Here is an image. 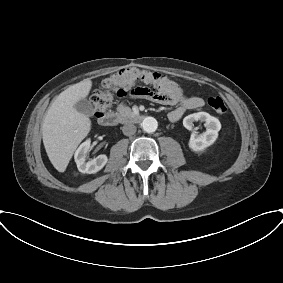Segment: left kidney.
Returning <instances> with one entry per match:
<instances>
[{
	"label": "left kidney",
	"instance_id": "left-kidney-1",
	"mask_svg": "<svg viewBox=\"0 0 283 283\" xmlns=\"http://www.w3.org/2000/svg\"><path fill=\"white\" fill-rule=\"evenodd\" d=\"M205 122L206 131L202 134L192 133L189 140V148L194 152L203 151L212 145L218 138V132L221 129V123L216 118L206 112L190 114L183 119V125L186 129L192 130L194 121Z\"/></svg>",
	"mask_w": 283,
	"mask_h": 283
}]
</instances>
